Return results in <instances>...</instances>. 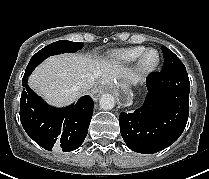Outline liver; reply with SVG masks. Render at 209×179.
Segmentation results:
<instances>
[{"instance_id": "1", "label": "liver", "mask_w": 209, "mask_h": 179, "mask_svg": "<svg viewBox=\"0 0 209 179\" xmlns=\"http://www.w3.org/2000/svg\"><path fill=\"white\" fill-rule=\"evenodd\" d=\"M86 78H94L101 86L110 85L116 79L127 85L139 81L138 75L116 62L83 54H62L49 57L40 64L29 77V85L49 104L60 107L84 92L77 84Z\"/></svg>"}]
</instances>
